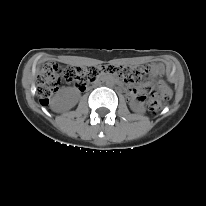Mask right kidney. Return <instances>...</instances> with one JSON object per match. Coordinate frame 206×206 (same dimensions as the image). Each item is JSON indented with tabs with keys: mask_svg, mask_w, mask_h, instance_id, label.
<instances>
[{
	"mask_svg": "<svg viewBox=\"0 0 206 206\" xmlns=\"http://www.w3.org/2000/svg\"><path fill=\"white\" fill-rule=\"evenodd\" d=\"M77 103V96L70 89L60 90L53 98L51 107L54 111L62 112L71 109Z\"/></svg>",
	"mask_w": 206,
	"mask_h": 206,
	"instance_id": "ca27d5eb",
	"label": "right kidney"
}]
</instances>
